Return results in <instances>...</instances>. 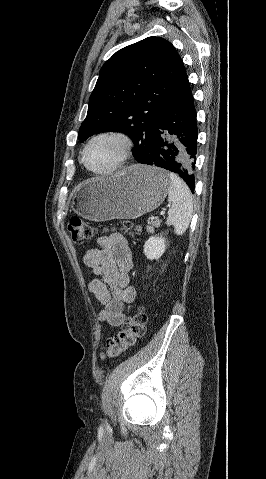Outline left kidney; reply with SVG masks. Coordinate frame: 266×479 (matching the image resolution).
I'll list each match as a JSON object with an SVG mask.
<instances>
[{"label":"left kidney","mask_w":266,"mask_h":479,"mask_svg":"<svg viewBox=\"0 0 266 479\" xmlns=\"http://www.w3.org/2000/svg\"><path fill=\"white\" fill-rule=\"evenodd\" d=\"M166 250L165 238L151 236L144 244L143 253L150 260H158Z\"/></svg>","instance_id":"left-kidney-1"}]
</instances>
